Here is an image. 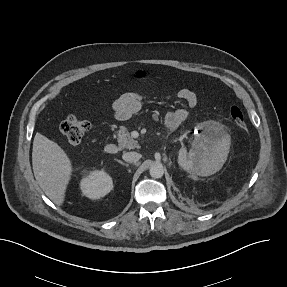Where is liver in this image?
<instances>
[{
	"mask_svg": "<svg viewBox=\"0 0 287 287\" xmlns=\"http://www.w3.org/2000/svg\"><path fill=\"white\" fill-rule=\"evenodd\" d=\"M32 165L35 179L46 196L61 206L73 171L66 152L54 141L36 133Z\"/></svg>",
	"mask_w": 287,
	"mask_h": 287,
	"instance_id": "obj_1",
	"label": "liver"
}]
</instances>
